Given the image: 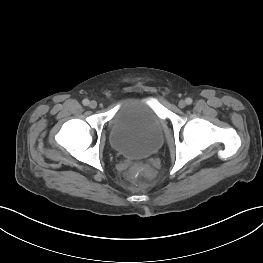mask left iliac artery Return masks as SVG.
Returning <instances> with one entry per match:
<instances>
[{
  "mask_svg": "<svg viewBox=\"0 0 263 263\" xmlns=\"http://www.w3.org/2000/svg\"><path fill=\"white\" fill-rule=\"evenodd\" d=\"M185 101H186V103H187L188 105L192 104V99H191V98H189V97H188V98H186V100H185Z\"/></svg>",
  "mask_w": 263,
  "mask_h": 263,
  "instance_id": "44dca946",
  "label": "left iliac artery"
}]
</instances>
